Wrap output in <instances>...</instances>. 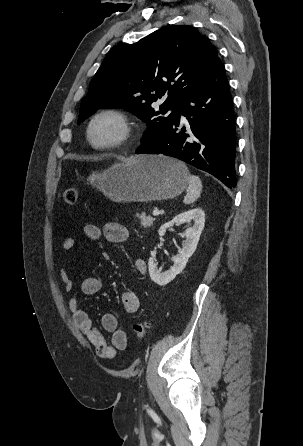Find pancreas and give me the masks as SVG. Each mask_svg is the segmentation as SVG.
<instances>
[{
	"mask_svg": "<svg viewBox=\"0 0 303 446\" xmlns=\"http://www.w3.org/2000/svg\"><path fill=\"white\" fill-rule=\"evenodd\" d=\"M139 217L141 220L140 224L144 228L151 227L153 225V221L155 220L153 217H151L150 215H146V214H141Z\"/></svg>",
	"mask_w": 303,
	"mask_h": 446,
	"instance_id": "obj_1",
	"label": "pancreas"
}]
</instances>
